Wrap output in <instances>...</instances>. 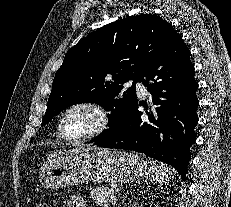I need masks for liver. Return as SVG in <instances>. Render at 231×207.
<instances>
[{"label": "liver", "instance_id": "liver-1", "mask_svg": "<svg viewBox=\"0 0 231 207\" xmlns=\"http://www.w3.org/2000/svg\"><path fill=\"white\" fill-rule=\"evenodd\" d=\"M97 150V148H88V150ZM99 150V149H98ZM59 154H61V153H54V154H51L50 156H49V159H51L52 157H54V156H57V155H59Z\"/></svg>", "mask_w": 231, "mask_h": 207}]
</instances>
